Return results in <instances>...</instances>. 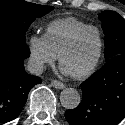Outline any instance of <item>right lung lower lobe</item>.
I'll list each match as a JSON object with an SVG mask.
<instances>
[{
    "label": "right lung lower lobe",
    "mask_w": 125,
    "mask_h": 125,
    "mask_svg": "<svg viewBox=\"0 0 125 125\" xmlns=\"http://www.w3.org/2000/svg\"><path fill=\"white\" fill-rule=\"evenodd\" d=\"M29 56L25 42L0 35V123L18 117L30 89L41 83V78L25 72L23 62Z\"/></svg>",
    "instance_id": "98d812e1"
}]
</instances>
